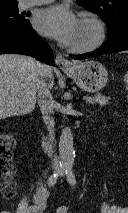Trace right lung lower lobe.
<instances>
[{"mask_svg": "<svg viewBox=\"0 0 128 213\" xmlns=\"http://www.w3.org/2000/svg\"><path fill=\"white\" fill-rule=\"evenodd\" d=\"M24 54L54 64L50 46L32 29L30 22L16 26L0 25V54Z\"/></svg>", "mask_w": 128, "mask_h": 213, "instance_id": "98d812e1", "label": "right lung lower lobe"}]
</instances>
